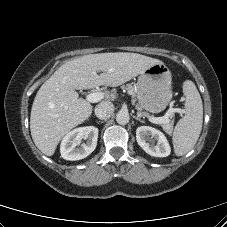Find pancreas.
I'll use <instances>...</instances> for the list:
<instances>
[{
  "mask_svg": "<svg viewBox=\"0 0 227 227\" xmlns=\"http://www.w3.org/2000/svg\"><path fill=\"white\" fill-rule=\"evenodd\" d=\"M122 89L127 91L132 96L135 95V88L131 84H126V85L122 86ZM139 110H141V109L139 108ZM143 115L144 116H148L147 113H143ZM173 124H174V120L173 119H169L168 122L162 124V127H163L164 131L167 134H171L172 133Z\"/></svg>",
  "mask_w": 227,
  "mask_h": 227,
  "instance_id": "obj_1",
  "label": "pancreas"
}]
</instances>
